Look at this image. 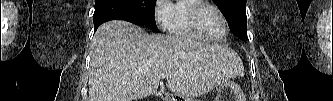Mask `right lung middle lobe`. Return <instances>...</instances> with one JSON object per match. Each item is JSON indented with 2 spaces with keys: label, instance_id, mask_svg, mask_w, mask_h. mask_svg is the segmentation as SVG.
Listing matches in <instances>:
<instances>
[{
  "label": "right lung middle lobe",
  "instance_id": "1",
  "mask_svg": "<svg viewBox=\"0 0 333 101\" xmlns=\"http://www.w3.org/2000/svg\"><path fill=\"white\" fill-rule=\"evenodd\" d=\"M98 0H95V4ZM134 12L139 25H145L149 29L159 32L155 17L154 9L156 0H123Z\"/></svg>",
  "mask_w": 333,
  "mask_h": 101
}]
</instances>
